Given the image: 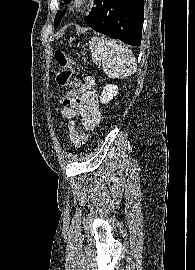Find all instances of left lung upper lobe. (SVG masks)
Instances as JSON below:
<instances>
[{"instance_id":"obj_1","label":"left lung upper lobe","mask_w":195,"mask_h":270,"mask_svg":"<svg viewBox=\"0 0 195 270\" xmlns=\"http://www.w3.org/2000/svg\"><path fill=\"white\" fill-rule=\"evenodd\" d=\"M69 1L70 0H64L65 3H69ZM63 16H64V11L63 12L62 11L57 12V14L55 16V20H54V27L55 28L59 25V23H60Z\"/></svg>"}]
</instances>
